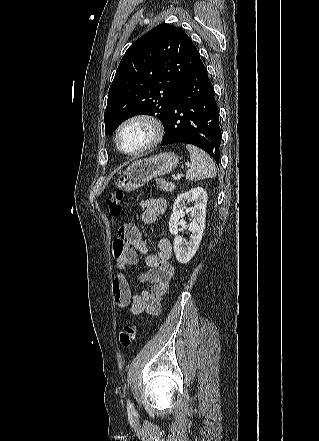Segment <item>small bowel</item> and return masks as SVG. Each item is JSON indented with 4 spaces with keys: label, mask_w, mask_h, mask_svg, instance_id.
I'll list each match as a JSON object with an SVG mask.
<instances>
[{
    "label": "small bowel",
    "mask_w": 319,
    "mask_h": 441,
    "mask_svg": "<svg viewBox=\"0 0 319 441\" xmlns=\"http://www.w3.org/2000/svg\"><path fill=\"white\" fill-rule=\"evenodd\" d=\"M140 207L142 222L153 225L158 217L165 213L167 202L160 197L149 198L142 201ZM139 254L144 255L148 267L139 275V280L149 283V286L141 293H133L126 278V271L138 264ZM113 255L119 270L112 284V295L116 306L129 307L131 313L135 315L160 314L162 296L168 290L174 275L173 267L169 262L171 257L169 240L160 238L157 253H149L141 230L134 223H126L118 230V238L113 243Z\"/></svg>",
    "instance_id": "1"
}]
</instances>
